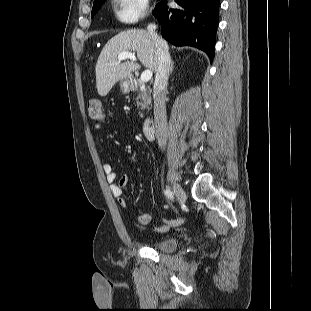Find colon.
<instances>
[{
	"mask_svg": "<svg viewBox=\"0 0 311 311\" xmlns=\"http://www.w3.org/2000/svg\"><path fill=\"white\" fill-rule=\"evenodd\" d=\"M88 117L92 121H100L103 119V107L98 99H92L87 105Z\"/></svg>",
	"mask_w": 311,
	"mask_h": 311,
	"instance_id": "colon-1",
	"label": "colon"
}]
</instances>
